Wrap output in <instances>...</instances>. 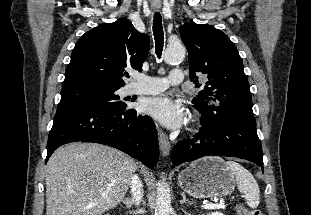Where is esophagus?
<instances>
[{"label":"esophagus","mask_w":311,"mask_h":215,"mask_svg":"<svg viewBox=\"0 0 311 215\" xmlns=\"http://www.w3.org/2000/svg\"><path fill=\"white\" fill-rule=\"evenodd\" d=\"M155 10H158L159 7H154ZM158 131V139H159V146L163 156H168L171 149V144L168 140L167 135L163 132L161 128L157 126Z\"/></svg>","instance_id":"34e87169"}]
</instances>
